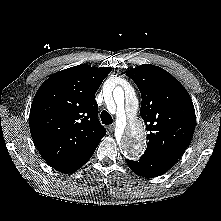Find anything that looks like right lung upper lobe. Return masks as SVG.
<instances>
[{"mask_svg": "<svg viewBox=\"0 0 221 221\" xmlns=\"http://www.w3.org/2000/svg\"><path fill=\"white\" fill-rule=\"evenodd\" d=\"M111 70L81 64L53 74L38 89L30 110V132L51 167L98 145L106 135L94 96Z\"/></svg>", "mask_w": 221, "mask_h": 221, "instance_id": "obj_1", "label": "right lung upper lobe"}]
</instances>
